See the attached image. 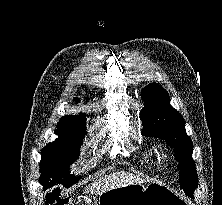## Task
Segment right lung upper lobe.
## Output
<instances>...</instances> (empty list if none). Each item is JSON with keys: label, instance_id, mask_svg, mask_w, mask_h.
Here are the masks:
<instances>
[{"label": "right lung upper lobe", "instance_id": "obj_1", "mask_svg": "<svg viewBox=\"0 0 222 205\" xmlns=\"http://www.w3.org/2000/svg\"><path fill=\"white\" fill-rule=\"evenodd\" d=\"M76 101H79L78 98H76ZM86 123V119H85V115L84 114H80L79 116H63L60 121L59 124H83Z\"/></svg>", "mask_w": 222, "mask_h": 205}]
</instances>
